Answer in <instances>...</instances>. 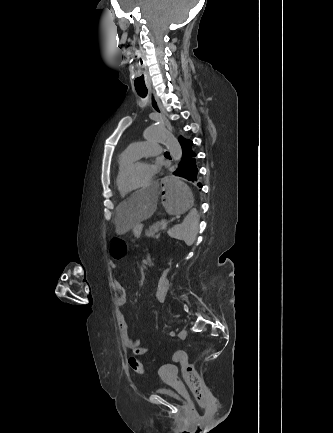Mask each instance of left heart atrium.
Here are the masks:
<instances>
[{
	"label": "left heart atrium",
	"mask_w": 333,
	"mask_h": 433,
	"mask_svg": "<svg viewBox=\"0 0 333 433\" xmlns=\"http://www.w3.org/2000/svg\"><path fill=\"white\" fill-rule=\"evenodd\" d=\"M158 167L156 164H150V172H149V178H152L155 173L157 172Z\"/></svg>",
	"instance_id": "1"
}]
</instances>
